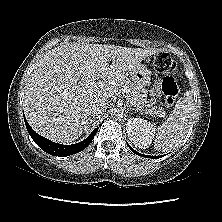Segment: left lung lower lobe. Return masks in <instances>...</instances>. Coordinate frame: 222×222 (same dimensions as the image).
<instances>
[{"label": "left lung lower lobe", "mask_w": 222, "mask_h": 222, "mask_svg": "<svg viewBox=\"0 0 222 222\" xmlns=\"http://www.w3.org/2000/svg\"><path fill=\"white\" fill-rule=\"evenodd\" d=\"M129 146V145H128ZM130 147V146H129ZM130 149L132 150V152H134L135 154H137V155H140V156H143V157H147V158H159V156H147V155H143V154H141V153H138L137 151H135L134 149H132L131 147H130ZM160 157H162V156H160Z\"/></svg>", "instance_id": "obj_1"}]
</instances>
